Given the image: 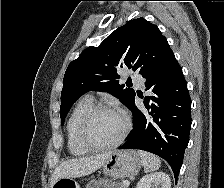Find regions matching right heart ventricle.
<instances>
[{"label":"right heart ventricle","mask_w":224,"mask_h":188,"mask_svg":"<svg viewBox=\"0 0 224 188\" xmlns=\"http://www.w3.org/2000/svg\"><path fill=\"white\" fill-rule=\"evenodd\" d=\"M94 105L90 96L82 97L74 106L66 124L67 148L71 155L82 156L90 150L84 147L78 137L79 124L85 113Z\"/></svg>","instance_id":"e07e8e85"}]
</instances>
